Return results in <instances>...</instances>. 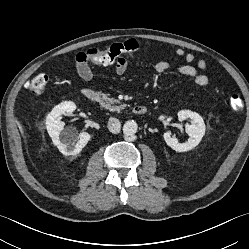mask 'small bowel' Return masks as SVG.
I'll use <instances>...</instances> for the list:
<instances>
[{"mask_svg": "<svg viewBox=\"0 0 249 249\" xmlns=\"http://www.w3.org/2000/svg\"><path fill=\"white\" fill-rule=\"evenodd\" d=\"M178 57L184 59L185 64L177 68V72L183 76L191 77L195 83L200 87H205L209 83L208 75L205 73L207 70L206 62L199 59L196 65H193L195 56L192 53L186 52L183 48H177L175 51ZM129 65V60L126 57H120L115 63V71L117 74H124ZM171 63L166 60L158 61L154 70L156 73H163L169 70ZM76 69L79 76L84 80H91L94 76L93 70L86 60L85 53H80L76 56Z\"/></svg>", "mask_w": 249, "mask_h": 249, "instance_id": "small-bowel-1", "label": "small bowel"}]
</instances>
